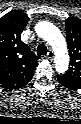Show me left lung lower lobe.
I'll return each instance as SVG.
<instances>
[{
	"label": "left lung lower lobe",
	"instance_id": "left-lung-lower-lobe-1",
	"mask_svg": "<svg viewBox=\"0 0 81 124\" xmlns=\"http://www.w3.org/2000/svg\"><path fill=\"white\" fill-rule=\"evenodd\" d=\"M57 80L61 84V86L70 89V90H77V87L74 86L71 82L65 80L62 75H57Z\"/></svg>",
	"mask_w": 81,
	"mask_h": 124
}]
</instances>
